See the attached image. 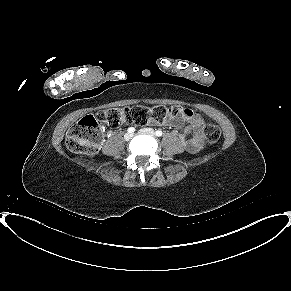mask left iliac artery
Segmentation results:
<instances>
[{"instance_id": "44dca946", "label": "left iliac artery", "mask_w": 291, "mask_h": 291, "mask_svg": "<svg viewBox=\"0 0 291 291\" xmlns=\"http://www.w3.org/2000/svg\"><path fill=\"white\" fill-rule=\"evenodd\" d=\"M155 134H156V136H158V137H160V136H162V131H160V130H157L156 132H155Z\"/></svg>"}]
</instances>
